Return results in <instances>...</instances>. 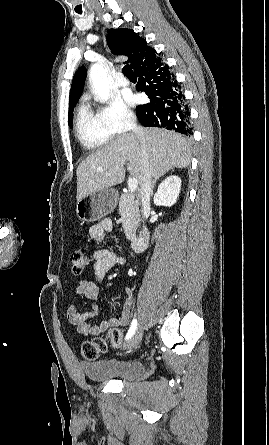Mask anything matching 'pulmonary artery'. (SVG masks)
<instances>
[{"mask_svg": "<svg viewBox=\"0 0 269 445\" xmlns=\"http://www.w3.org/2000/svg\"><path fill=\"white\" fill-rule=\"evenodd\" d=\"M116 82L121 87H126L129 85V80L125 78L123 75H119L116 79Z\"/></svg>", "mask_w": 269, "mask_h": 445, "instance_id": "pulmonary-artery-1", "label": "pulmonary artery"}]
</instances>
